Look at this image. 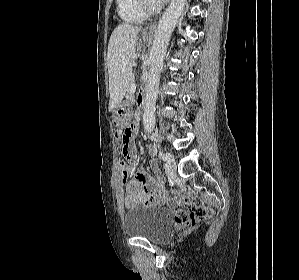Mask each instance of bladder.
Segmentation results:
<instances>
[{
  "mask_svg": "<svg viewBox=\"0 0 299 280\" xmlns=\"http://www.w3.org/2000/svg\"><path fill=\"white\" fill-rule=\"evenodd\" d=\"M173 226L170 213L160 207L136 208L124 216L126 235L144 238L153 243L165 241L171 235Z\"/></svg>",
  "mask_w": 299,
  "mask_h": 280,
  "instance_id": "1",
  "label": "bladder"
}]
</instances>
